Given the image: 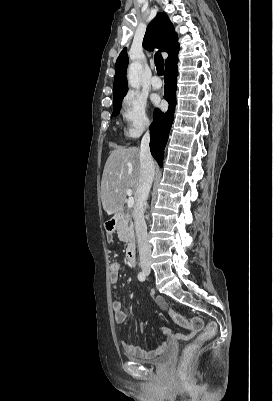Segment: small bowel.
<instances>
[{
  "mask_svg": "<svg viewBox=\"0 0 273 401\" xmlns=\"http://www.w3.org/2000/svg\"><path fill=\"white\" fill-rule=\"evenodd\" d=\"M109 269H110V277H109L110 283L114 287H116L117 283L119 281V276H120V272L122 270V265H121L120 262L114 261V262L110 263ZM147 293L154 295L155 296V301H165L164 298H162L161 296L157 295L152 290H148ZM166 306H169L167 302H166ZM112 309H113V314H114V321L117 324H124V323H126L128 321L129 313L125 309V307H124L122 302L114 301L112 303ZM173 320L174 321H187L182 316H180L179 318H175ZM162 332H163L164 336L166 337V340L157 348L155 353L164 352L165 350H167L172 345V339H173L174 335H173L171 329L168 328V327H163L162 328ZM122 349H123V351L125 353H129V354H132V355H142V356H147V355L153 356V355H155L154 352H146V351L141 350V349H139V348H137L135 346H132V345H130L128 343H123L122 344Z\"/></svg>",
  "mask_w": 273,
  "mask_h": 401,
  "instance_id": "small-bowel-1",
  "label": "small bowel"
}]
</instances>
